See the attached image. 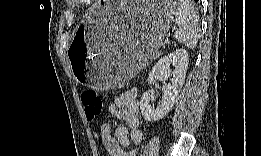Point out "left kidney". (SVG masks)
<instances>
[{"mask_svg":"<svg viewBox=\"0 0 261 156\" xmlns=\"http://www.w3.org/2000/svg\"><path fill=\"white\" fill-rule=\"evenodd\" d=\"M188 63L187 51L185 49H177L161 58L152 68L148 76V84H153L156 79L161 80L164 83L162 87L163 96L159 105L155 107L151 103V93L149 91L143 93L140 99V109L146 121L151 122L162 119L173 107L183 86ZM170 65L175 67L173 71L169 69ZM170 76H172L171 84L165 83Z\"/></svg>","mask_w":261,"mask_h":156,"instance_id":"5707ae66","label":"left kidney"}]
</instances>
